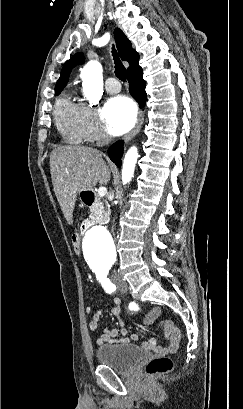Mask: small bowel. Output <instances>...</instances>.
Listing matches in <instances>:
<instances>
[{
	"label": "small bowel",
	"instance_id": "1",
	"mask_svg": "<svg viewBox=\"0 0 243 409\" xmlns=\"http://www.w3.org/2000/svg\"><path fill=\"white\" fill-rule=\"evenodd\" d=\"M85 311L87 314H90L92 312V308L90 306H87L85 308ZM111 312L117 318L120 328L117 329L111 326H105L102 333L95 339V343L97 345H103L105 343L123 344V343H129L130 341L137 342L139 340V337L137 334H132L130 337L127 334V330L121 318L120 300L118 298H114ZM101 313H102L101 311H98L95 314H93L89 322L90 330L94 331L99 327ZM166 326L169 329V332L167 334V337L169 339V344L167 346L158 345L154 339L143 342V346L157 354L175 353L178 350L179 345H180V340H181L180 331L177 327H175L170 322L167 323Z\"/></svg>",
	"mask_w": 243,
	"mask_h": 409
}]
</instances>
